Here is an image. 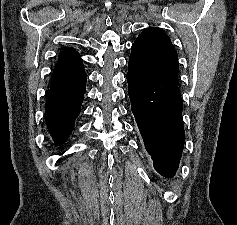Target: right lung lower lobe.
Masks as SVG:
<instances>
[{"instance_id": "right-lung-lower-lobe-1", "label": "right lung lower lobe", "mask_w": 237, "mask_h": 225, "mask_svg": "<svg viewBox=\"0 0 237 225\" xmlns=\"http://www.w3.org/2000/svg\"><path fill=\"white\" fill-rule=\"evenodd\" d=\"M85 83L71 87H50L46 91L45 120L57 146L63 144L74 129L86 91Z\"/></svg>"}]
</instances>
